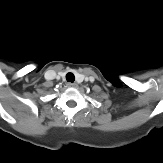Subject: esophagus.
Listing matches in <instances>:
<instances>
[{"label":"esophagus","mask_w":163,"mask_h":163,"mask_svg":"<svg viewBox=\"0 0 163 163\" xmlns=\"http://www.w3.org/2000/svg\"><path fill=\"white\" fill-rule=\"evenodd\" d=\"M67 86L70 87V88H76L78 85L76 83H67Z\"/></svg>","instance_id":"obj_1"}]
</instances>
